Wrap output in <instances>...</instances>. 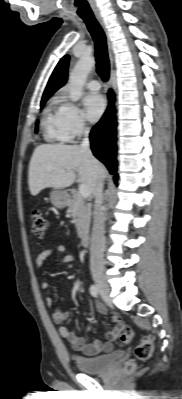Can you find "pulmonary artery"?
I'll list each match as a JSON object with an SVG mask.
<instances>
[{"mask_svg": "<svg viewBox=\"0 0 182 399\" xmlns=\"http://www.w3.org/2000/svg\"><path fill=\"white\" fill-rule=\"evenodd\" d=\"M87 87L89 90H91L93 92H97L100 90L101 85H100L99 81H97V80H90L87 83Z\"/></svg>", "mask_w": 182, "mask_h": 399, "instance_id": "e3ab8cb5", "label": "pulmonary artery"}]
</instances>
